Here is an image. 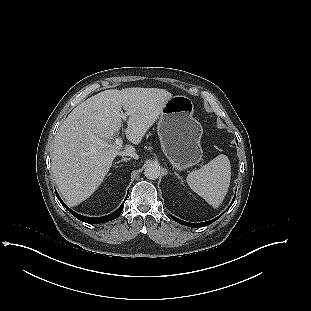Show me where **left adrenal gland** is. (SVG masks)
Returning a JSON list of instances; mask_svg holds the SVG:
<instances>
[{
    "label": "left adrenal gland",
    "instance_id": "1",
    "mask_svg": "<svg viewBox=\"0 0 311 311\" xmlns=\"http://www.w3.org/2000/svg\"><path fill=\"white\" fill-rule=\"evenodd\" d=\"M176 176H177L179 179H181L180 176H179L178 174H176Z\"/></svg>",
    "mask_w": 311,
    "mask_h": 311
}]
</instances>
